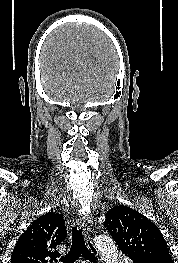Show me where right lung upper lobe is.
<instances>
[{"label": "right lung upper lobe", "mask_w": 178, "mask_h": 263, "mask_svg": "<svg viewBox=\"0 0 178 263\" xmlns=\"http://www.w3.org/2000/svg\"><path fill=\"white\" fill-rule=\"evenodd\" d=\"M61 214L49 212L35 220L19 237L11 255V263H53L60 253L56 248L66 238Z\"/></svg>", "instance_id": "obj_1"}]
</instances>
